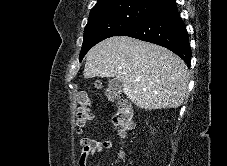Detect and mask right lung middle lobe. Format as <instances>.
<instances>
[{
    "mask_svg": "<svg viewBox=\"0 0 227 166\" xmlns=\"http://www.w3.org/2000/svg\"><path fill=\"white\" fill-rule=\"evenodd\" d=\"M156 7L140 3H123L91 11L85 26L80 61L94 45L117 36L150 14Z\"/></svg>",
    "mask_w": 227,
    "mask_h": 166,
    "instance_id": "dd1d6c3e",
    "label": "right lung middle lobe"
}]
</instances>
